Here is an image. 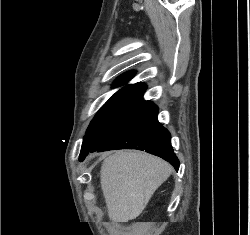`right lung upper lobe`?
Returning a JSON list of instances; mask_svg holds the SVG:
<instances>
[{
	"mask_svg": "<svg viewBox=\"0 0 250 235\" xmlns=\"http://www.w3.org/2000/svg\"><path fill=\"white\" fill-rule=\"evenodd\" d=\"M134 72H127L125 74H122L117 78V80L114 82L113 87H117L123 84H126L133 76ZM146 85L144 83H136L131 84L123 87L118 92H116L112 97H122V98H132L141 91L145 90ZM111 97V98H112Z\"/></svg>",
	"mask_w": 250,
	"mask_h": 235,
	"instance_id": "1",
	"label": "right lung upper lobe"
}]
</instances>
